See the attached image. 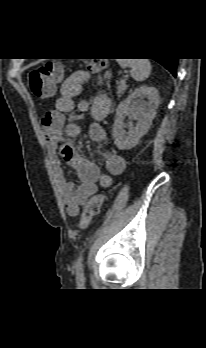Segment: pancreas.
I'll list each match as a JSON object with an SVG mask.
<instances>
[{
  "instance_id": "cf45deb5",
  "label": "pancreas",
  "mask_w": 206,
  "mask_h": 348,
  "mask_svg": "<svg viewBox=\"0 0 206 348\" xmlns=\"http://www.w3.org/2000/svg\"><path fill=\"white\" fill-rule=\"evenodd\" d=\"M117 87V95L120 97L127 90V85L125 83L119 82Z\"/></svg>"
}]
</instances>
